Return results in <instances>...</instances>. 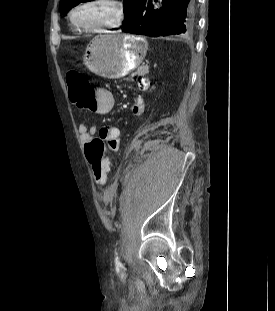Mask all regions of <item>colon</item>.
Returning a JSON list of instances; mask_svg holds the SVG:
<instances>
[{"label":"colon","mask_w":275,"mask_h":311,"mask_svg":"<svg viewBox=\"0 0 275 311\" xmlns=\"http://www.w3.org/2000/svg\"><path fill=\"white\" fill-rule=\"evenodd\" d=\"M69 86V97L71 102L79 108L89 105L95 98L94 87L88 79L78 73L67 74ZM110 145L103 139H94L86 146V157L91 165L94 179L97 183L103 184L110 172L111 160L107 156V148Z\"/></svg>","instance_id":"colon-1"}]
</instances>
